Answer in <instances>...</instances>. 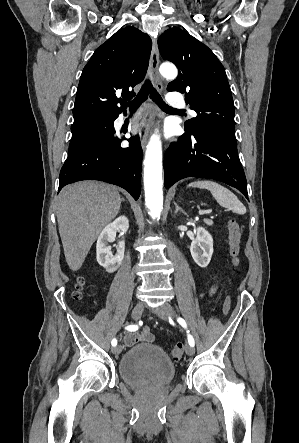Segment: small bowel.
Masks as SVG:
<instances>
[{
  "label": "small bowel",
  "mask_w": 299,
  "mask_h": 443,
  "mask_svg": "<svg viewBox=\"0 0 299 443\" xmlns=\"http://www.w3.org/2000/svg\"><path fill=\"white\" fill-rule=\"evenodd\" d=\"M214 287H212L213 289ZM155 339L153 333L150 330V327L146 326L142 329V331L138 333H128L124 337V344L127 347H131L137 343L141 342H153Z\"/></svg>",
  "instance_id": "c3829d8e"
}]
</instances>
